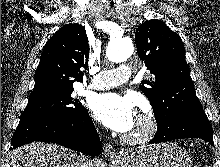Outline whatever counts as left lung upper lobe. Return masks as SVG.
<instances>
[{
	"instance_id": "obj_1",
	"label": "left lung upper lobe",
	"mask_w": 220,
	"mask_h": 167,
	"mask_svg": "<svg viewBox=\"0 0 220 167\" xmlns=\"http://www.w3.org/2000/svg\"><path fill=\"white\" fill-rule=\"evenodd\" d=\"M135 40L138 56L153 75L139 87L151 102L157 125L163 126L187 112L203 110L179 35L162 21L152 19L137 28Z\"/></svg>"
}]
</instances>
